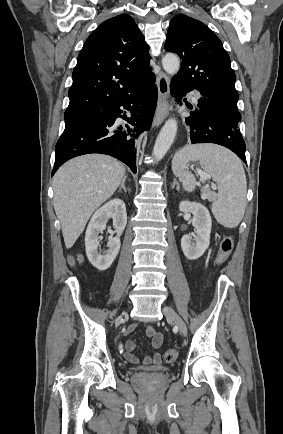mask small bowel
<instances>
[{"label":"small bowel","mask_w":283,"mask_h":434,"mask_svg":"<svg viewBox=\"0 0 283 434\" xmlns=\"http://www.w3.org/2000/svg\"><path fill=\"white\" fill-rule=\"evenodd\" d=\"M136 325H130L126 334L131 333L135 329ZM146 336L151 339V345L154 349H159L162 344L164 337L161 333L157 332L152 326L147 325L145 329ZM135 348V344L133 341H128L126 343V352L125 357L131 363H139L138 357L132 353ZM142 365L144 366H159L162 363V358L159 353H154L152 356H145L141 360Z\"/></svg>","instance_id":"small-bowel-1"}]
</instances>
